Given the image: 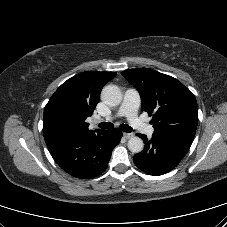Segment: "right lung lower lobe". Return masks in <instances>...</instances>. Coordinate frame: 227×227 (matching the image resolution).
Segmentation results:
<instances>
[{
    "label": "right lung lower lobe",
    "mask_w": 227,
    "mask_h": 227,
    "mask_svg": "<svg viewBox=\"0 0 227 227\" xmlns=\"http://www.w3.org/2000/svg\"><path fill=\"white\" fill-rule=\"evenodd\" d=\"M121 137L122 132L118 129L99 130L61 140L49 145L48 149L65 172L80 179H89L105 171L112 150Z\"/></svg>",
    "instance_id": "obj_1"
}]
</instances>
